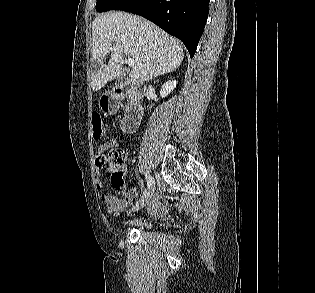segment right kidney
I'll return each instance as SVG.
<instances>
[{"label": "right kidney", "instance_id": "obj_1", "mask_svg": "<svg viewBox=\"0 0 315 293\" xmlns=\"http://www.w3.org/2000/svg\"><path fill=\"white\" fill-rule=\"evenodd\" d=\"M176 84V81H168L164 83L160 90L161 97L165 98L166 96H168V94H170L174 90V88H176Z\"/></svg>", "mask_w": 315, "mask_h": 293}]
</instances>
